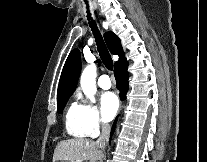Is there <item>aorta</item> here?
<instances>
[{"label": "aorta", "instance_id": "aorta-1", "mask_svg": "<svg viewBox=\"0 0 207 162\" xmlns=\"http://www.w3.org/2000/svg\"><path fill=\"white\" fill-rule=\"evenodd\" d=\"M96 67L88 65L82 72L80 78V85L84 94L92 101L95 102L94 95L96 94Z\"/></svg>", "mask_w": 207, "mask_h": 162}]
</instances>
